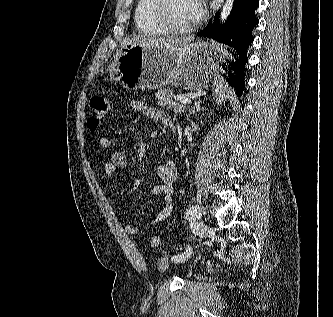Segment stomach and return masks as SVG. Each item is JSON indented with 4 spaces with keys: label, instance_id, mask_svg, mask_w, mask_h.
<instances>
[{
    "label": "stomach",
    "instance_id": "stomach-1",
    "mask_svg": "<svg viewBox=\"0 0 333 317\" xmlns=\"http://www.w3.org/2000/svg\"><path fill=\"white\" fill-rule=\"evenodd\" d=\"M215 62H229L228 49L198 41L178 52L127 44L109 65L110 76L127 89H158L181 85L188 90L227 88V81H208Z\"/></svg>",
    "mask_w": 333,
    "mask_h": 317
}]
</instances>
